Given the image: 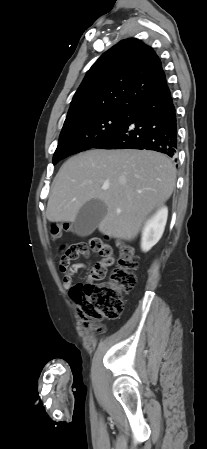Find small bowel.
Wrapping results in <instances>:
<instances>
[{"instance_id":"1","label":"small bowel","mask_w":207,"mask_h":449,"mask_svg":"<svg viewBox=\"0 0 207 449\" xmlns=\"http://www.w3.org/2000/svg\"><path fill=\"white\" fill-rule=\"evenodd\" d=\"M85 265L83 263H75L72 265H68L67 267H62L60 265V271L63 274L62 278V286L65 289H68L72 285V277L75 273H77L79 270L84 269ZM93 269L91 268L89 270V278H93Z\"/></svg>"}]
</instances>
